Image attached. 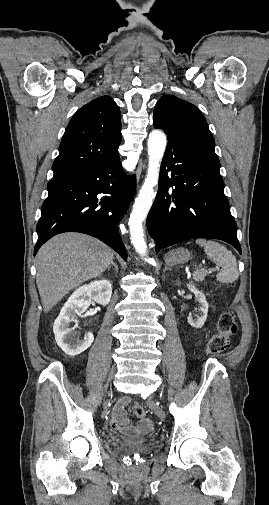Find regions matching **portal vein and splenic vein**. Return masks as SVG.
<instances>
[{"mask_svg":"<svg viewBox=\"0 0 269 505\" xmlns=\"http://www.w3.org/2000/svg\"><path fill=\"white\" fill-rule=\"evenodd\" d=\"M200 267H201V265H199L196 269H198V268H200Z\"/></svg>","mask_w":269,"mask_h":505,"instance_id":"portal-vein-and-splenic-vein-1","label":"portal vein and splenic vein"}]
</instances>
